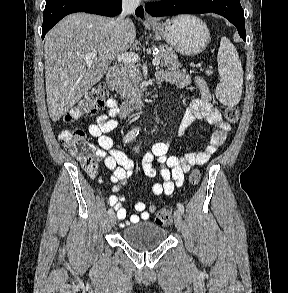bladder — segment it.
I'll return each mask as SVG.
<instances>
[{
	"label": "bladder",
	"mask_w": 288,
	"mask_h": 293,
	"mask_svg": "<svg viewBox=\"0 0 288 293\" xmlns=\"http://www.w3.org/2000/svg\"><path fill=\"white\" fill-rule=\"evenodd\" d=\"M123 240L138 249H151L161 245L167 238V230L150 221L129 225L122 232Z\"/></svg>",
	"instance_id": "1"
}]
</instances>
